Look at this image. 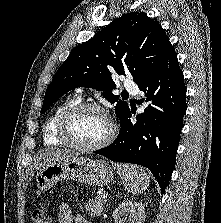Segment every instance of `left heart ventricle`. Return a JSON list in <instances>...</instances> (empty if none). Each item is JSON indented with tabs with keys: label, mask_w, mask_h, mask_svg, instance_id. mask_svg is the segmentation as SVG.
Here are the masks:
<instances>
[{
	"label": "left heart ventricle",
	"mask_w": 221,
	"mask_h": 223,
	"mask_svg": "<svg viewBox=\"0 0 221 223\" xmlns=\"http://www.w3.org/2000/svg\"><path fill=\"white\" fill-rule=\"evenodd\" d=\"M109 132L107 118L95 110H85L76 114L69 125V135L77 143L93 145L101 141Z\"/></svg>",
	"instance_id": "left-heart-ventricle-1"
}]
</instances>
